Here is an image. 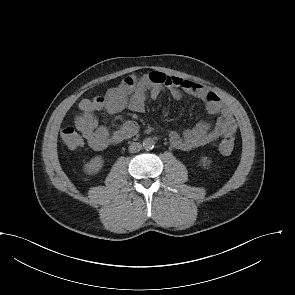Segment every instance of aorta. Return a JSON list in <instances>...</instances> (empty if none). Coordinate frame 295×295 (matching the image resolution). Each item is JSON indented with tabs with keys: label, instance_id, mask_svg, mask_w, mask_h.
<instances>
[{
	"label": "aorta",
	"instance_id": "aorta-1",
	"mask_svg": "<svg viewBox=\"0 0 295 295\" xmlns=\"http://www.w3.org/2000/svg\"><path fill=\"white\" fill-rule=\"evenodd\" d=\"M154 140L152 138H146L143 140V147L146 149V150H151L154 148Z\"/></svg>",
	"mask_w": 295,
	"mask_h": 295
}]
</instances>
